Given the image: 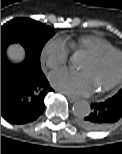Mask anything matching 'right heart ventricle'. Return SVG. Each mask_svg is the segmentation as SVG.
Wrapping results in <instances>:
<instances>
[{
    "label": "right heart ventricle",
    "mask_w": 122,
    "mask_h": 154,
    "mask_svg": "<svg viewBox=\"0 0 122 154\" xmlns=\"http://www.w3.org/2000/svg\"><path fill=\"white\" fill-rule=\"evenodd\" d=\"M66 43L69 49L73 51H85L89 55L113 49V45L108 40L95 35H85L76 39H69Z\"/></svg>",
    "instance_id": "1"
}]
</instances>
